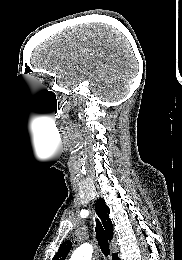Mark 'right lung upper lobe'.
Returning a JSON list of instances; mask_svg holds the SVG:
<instances>
[{"label":"right lung upper lobe","mask_w":182,"mask_h":260,"mask_svg":"<svg viewBox=\"0 0 182 260\" xmlns=\"http://www.w3.org/2000/svg\"><path fill=\"white\" fill-rule=\"evenodd\" d=\"M96 213L100 217L105 231L108 235L109 240L111 241L113 237V224L109 218V208L105 204V201L100 198L97 200L95 204ZM72 247V243L70 240L65 241L60 247L56 255L54 256L53 260H65L66 256L68 255L70 249Z\"/></svg>","instance_id":"obj_1"}]
</instances>
